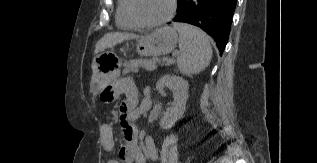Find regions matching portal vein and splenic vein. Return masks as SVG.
<instances>
[{
	"mask_svg": "<svg viewBox=\"0 0 317 163\" xmlns=\"http://www.w3.org/2000/svg\"><path fill=\"white\" fill-rule=\"evenodd\" d=\"M167 63H171V60H166Z\"/></svg>",
	"mask_w": 317,
	"mask_h": 163,
	"instance_id": "18ae733b",
	"label": "portal vein and splenic vein"
}]
</instances>
